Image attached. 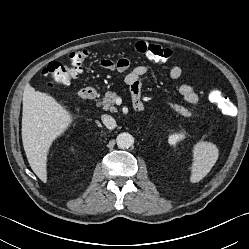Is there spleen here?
Listing matches in <instances>:
<instances>
[{
	"label": "spleen",
	"mask_w": 249,
	"mask_h": 249,
	"mask_svg": "<svg viewBox=\"0 0 249 249\" xmlns=\"http://www.w3.org/2000/svg\"><path fill=\"white\" fill-rule=\"evenodd\" d=\"M219 151L215 144L199 141L193 147V164L190 181L197 183L212 169L218 159Z\"/></svg>",
	"instance_id": "1"
}]
</instances>
